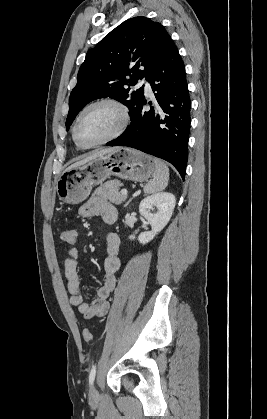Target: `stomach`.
Segmentation results:
<instances>
[{
  "label": "stomach",
  "mask_w": 267,
  "mask_h": 419,
  "mask_svg": "<svg viewBox=\"0 0 267 419\" xmlns=\"http://www.w3.org/2000/svg\"><path fill=\"white\" fill-rule=\"evenodd\" d=\"M155 172L154 159L134 149L119 147L84 165L65 170L56 183L59 199L67 204L83 202L92 187L110 176L143 182Z\"/></svg>",
  "instance_id": "stomach-1"
}]
</instances>
